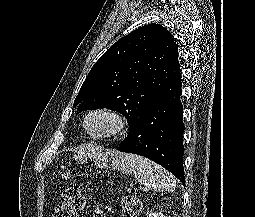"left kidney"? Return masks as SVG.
<instances>
[{"instance_id":"5707ae66","label":"left kidney","mask_w":255,"mask_h":217,"mask_svg":"<svg viewBox=\"0 0 255 217\" xmlns=\"http://www.w3.org/2000/svg\"><path fill=\"white\" fill-rule=\"evenodd\" d=\"M146 217H165L162 213H152V211H148V213L146 214Z\"/></svg>"}]
</instances>
